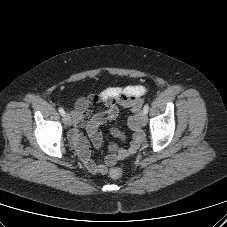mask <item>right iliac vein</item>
I'll list each match as a JSON object with an SVG mask.
<instances>
[{
	"mask_svg": "<svg viewBox=\"0 0 227 227\" xmlns=\"http://www.w3.org/2000/svg\"><path fill=\"white\" fill-rule=\"evenodd\" d=\"M63 121L64 123L67 125V126H71L72 124V120H71V117L68 113H65L64 116H63Z\"/></svg>",
	"mask_w": 227,
	"mask_h": 227,
	"instance_id": "right-iliac-vein-1",
	"label": "right iliac vein"
}]
</instances>
